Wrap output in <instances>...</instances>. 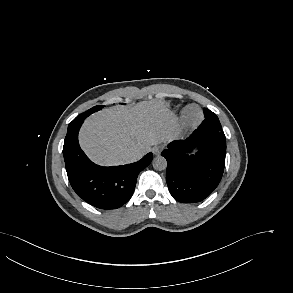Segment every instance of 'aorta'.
Listing matches in <instances>:
<instances>
[{
    "label": "aorta",
    "mask_w": 293,
    "mask_h": 293,
    "mask_svg": "<svg viewBox=\"0 0 293 293\" xmlns=\"http://www.w3.org/2000/svg\"><path fill=\"white\" fill-rule=\"evenodd\" d=\"M153 167L155 170L162 171L167 167V161L163 156H157L153 159Z\"/></svg>",
    "instance_id": "1"
}]
</instances>
